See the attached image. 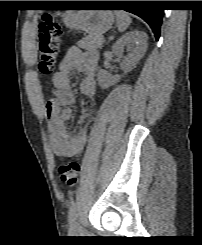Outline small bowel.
<instances>
[{
	"label": "small bowel",
	"instance_id": "1",
	"mask_svg": "<svg viewBox=\"0 0 202 245\" xmlns=\"http://www.w3.org/2000/svg\"><path fill=\"white\" fill-rule=\"evenodd\" d=\"M96 66L95 54L71 47L63 58L59 71L53 75L55 97L47 101L45 115L49 122L50 145L57 156H75L84 147L96 101ZM73 72L84 74L79 89L88 99L86 122L75 134L69 133L67 127L73 117V111L68 106L75 101V95L70 86V76Z\"/></svg>",
	"mask_w": 202,
	"mask_h": 245
}]
</instances>
